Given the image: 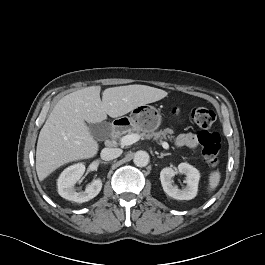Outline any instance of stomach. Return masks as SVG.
<instances>
[{
  "mask_svg": "<svg viewBox=\"0 0 265 265\" xmlns=\"http://www.w3.org/2000/svg\"><path fill=\"white\" fill-rule=\"evenodd\" d=\"M122 118H126L123 122L128 128L143 132H153L162 121L160 112L150 105L138 106L131 111L129 117Z\"/></svg>",
  "mask_w": 265,
  "mask_h": 265,
  "instance_id": "obj_1",
  "label": "stomach"
}]
</instances>
